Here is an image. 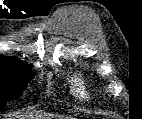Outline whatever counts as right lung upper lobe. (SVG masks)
<instances>
[{
    "label": "right lung upper lobe",
    "instance_id": "cb5924a9",
    "mask_svg": "<svg viewBox=\"0 0 142 119\" xmlns=\"http://www.w3.org/2000/svg\"><path fill=\"white\" fill-rule=\"evenodd\" d=\"M17 67H28L23 61L13 57L0 56V69H12Z\"/></svg>",
    "mask_w": 142,
    "mask_h": 119
}]
</instances>
